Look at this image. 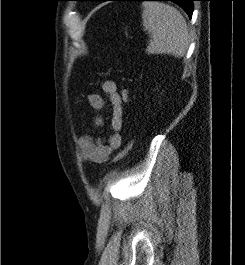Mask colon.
Listing matches in <instances>:
<instances>
[{
  "label": "colon",
  "instance_id": "5ec220e1",
  "mask_svg": "<svg viewBox=\"0 0 245 265\" xmlns=\"http://www.w3.org/2000/svg\"><path fill=\"white\" fill-rule=\"evenodd\" d=\"M120 94H121L122 101L124 103L130 100L129 92L127 89L121 90ZM131 148H132V142L128 141L127 144L124 146V148L117 154V156L114 159V162H118L124 159L129 154Z\"/></svg>",
  "mask_w": 245,
  "mask_h": 265
}]
</instances>
